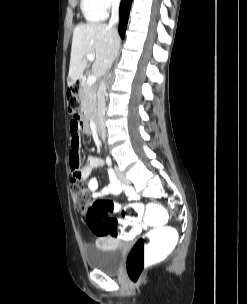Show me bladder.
<instances>
[{
    "instance_id": "31cf9c89",
    "label": "bladder",
    "mask_w": 247,
    "mask_h": 304,
    "mask_svg": "<svg viewBox=\"0 0 247 304\" xmlns=\"http://www.w3.org/2000/svg\"><path fill=\"white\" fill-rule=\"evenodd\" d=\"M125 245L110 239H100L85 247V260L89 269L117 272L123 261Z\"/></svg>"
}]
</instances>
